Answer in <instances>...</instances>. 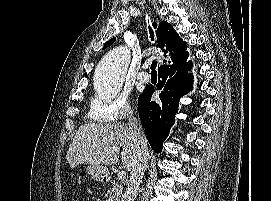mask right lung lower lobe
Listing matches in <instances>:
<instances>
[{
    "label": "right lung lower lobe",
    "instance_id": "98d812e1",
    "mask_svg": "<svg viewBox=\"0 0 271 201\" xmlns=\"http://www.w3.org/2000/svg\"><path fill=\"white\" fill-rule=\"evenodd\" d=\"M185 47L181 57L158 69L160 80L157 90H162L159 95L161 102L150 101L154 92L151 86H147L138 98L139 117L155 153L162 151V144L175 121L179 99L192 87V77L187 73L192 63L186 62L188 52L185 51Z\"/></svg>",
    "mask_w": 271,
    "mask_h": 201
}]
</instances>
